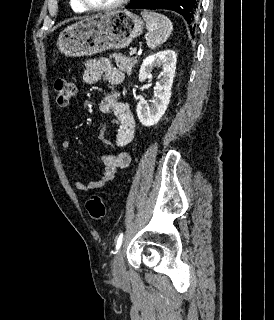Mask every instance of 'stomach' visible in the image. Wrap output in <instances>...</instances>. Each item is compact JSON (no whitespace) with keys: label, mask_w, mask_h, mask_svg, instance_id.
<instances>
[{"label":"stomach","mask_w":274,"mask_h":320,"mask_svg":"<svg viewBox=\"0 0 274 320\" xmlns=\"http://www.w3.org/2000/svg\"><path fill=\"white\" fill-rule=\"evenodd\" d=\"M143 30V20L127 10L95 14L63 30L57 46L59 52L68 58L94 56L105 50L126 48L134 38L143 34Z\"/></svg>","instance_id":"stomach-1"}]
</instances>
